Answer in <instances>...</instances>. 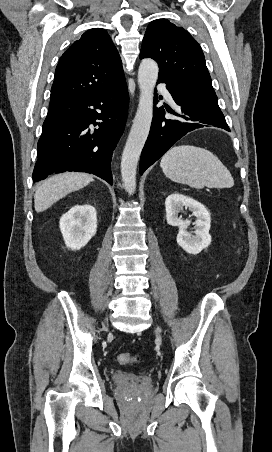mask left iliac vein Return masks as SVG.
Instances as JSON below:
<instances>
[{
	"label": "left iliac vein",
	"mask_w": 272,
	"mask_h": 452,
	"mask_svg": "<svg viewBox=\"0 0 272 452\" xmlns=\"http://www.w3.org/2000/svg\"><path fill=\"white\" fill-rule=\"evenodd\" d=\"M156 337H157L158 342L162 341L161 335L158 330H156Z\"/></svg>",
	"instance_id": "left-iliac-vein-1"
}]
</instances>
